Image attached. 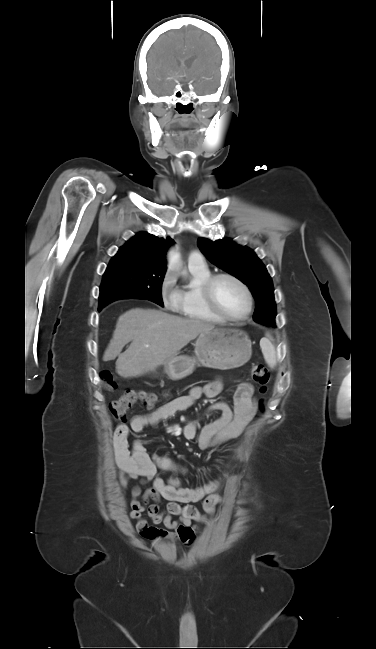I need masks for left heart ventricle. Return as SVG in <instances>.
Segmentation results:
<instances>
[{
  "mask_svg": "<svg viewBox=\"0 0 376 649\" xmlns=\"http://www.w3.org/2000/svg\"><path fill=\"white\" fill-rule=\"evenodd\" d=\"M215 297L222 310L231 317H240L247 309L244 291L230 279L224 278L217 282Z\"/></svg>",
  "mask_w": 376,
  "mask_h": 649,
  "instance_id": "b2bd125f",
  "label": "left heart ventricle"
}]
</instances>
